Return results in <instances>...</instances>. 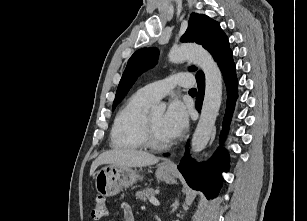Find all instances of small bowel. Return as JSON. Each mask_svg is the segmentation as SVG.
<instances>
[{
	"mask_svg": "<svg viewBox=\"0 0 307 221\" xmlns=\"http://www.w3.org/2000/svg\"><path fill=\"white\" fill-rule=\"evenodd\" d=\"M121 209L123 211V216H124L125 221H135L133 210H132V208L130 207L129 204H127V203L121 204ZM93 219L97 220L94 217H93Z\"/></svg>",
	"mask_w": 307,
	"mask_h": 221,
	"instance_id": "small-bowel-1",
	"label": "small bowel"
}]
</instances>
